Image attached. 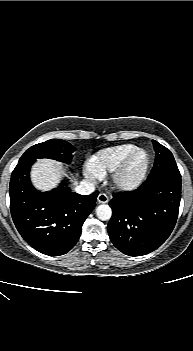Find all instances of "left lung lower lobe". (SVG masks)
Listing matches in <instances>:
<instances>
[{"label":"left lung lower lobe","mask_w":193,"mask_h":351,"mask_svg":"<svg viewBox=\"0 0 193 351\" xmlns=\"http://www.w3.org/2000/svg\"><path fill=\"white\" fill-rule=\"evenodd\" d=\"M181 194L179 170L147 178L135 191L114 194L108 223L114 246L129 256H142L160 247L176 225Z\"/></svg>","instance_id":"left-lung-lower-lobe-1"}]
</instances>
